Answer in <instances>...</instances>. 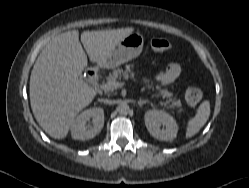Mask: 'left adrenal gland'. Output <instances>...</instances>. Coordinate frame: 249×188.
Here are the masks:
<instances>
[{"mask_svg": "<svg viewBox=\"0 0 249 188\" xmlns=\"http://www.w3.org/2000/svg\"><path fill=\"white\" fill-rule=\"evenodd\" d=\"M145 103H149V101L148 100H143V99H140L139 101H138V105L139 106H142L143 104H145Z\"/></svg>", "mask_w": 249, "mask_h": 188, "instance_id": "1", "label": "left adrenal gland"}]
</instances>
